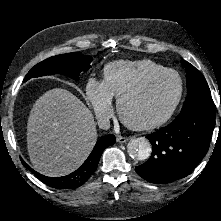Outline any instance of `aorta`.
I'll use <instances>...</instances> for the list:
<instances>
[{
  "instance_id": "aorta-1",
  "label": "aorta",
  "mask_w": 221,
  "mask_h": 221,
  "mask_svg": "<svg viewBox=\"0 0 221 221\" xmlns=\"http://www.w3.org/2000/svg\"><path fill=\"white\" fill-rule=\"evenodd\" d=\"M127 152L133 159L145 160L151 155L152 147L146 138L140 137L129 141L127 144Z\"/></svg>"
}]
</instances>
